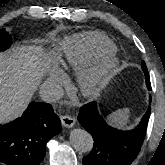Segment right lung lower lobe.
<instances>
[{"mask_svg":"<svg viewBox=\"0 0 165 165\" xmlns=\"http://www.w3.org/2000/svg\"><path fill=\"white\" fill-rule=\"evenodd\" d=\"M60 131V119L50 104L30 103L20 118L0 125V162L39 165L48 139Z\"/></svg>","mask_w":165,"mask_h":165,"instance_id":"1","label":"right lung lower lobe"}]
</instances>
